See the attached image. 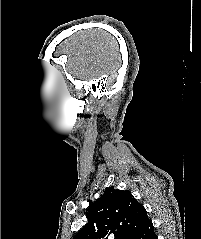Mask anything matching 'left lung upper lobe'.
<instances>
[{
    "label": "left lung upper lobe",
    "mask_w": 201,
    "mask_h": 239,
    "mask_svg": "<svg viewBox=\"0 0 201 239\" xmlns=\"http://www.w3.org/2000/svg\"><path fill=\"white\" fill-rule=\"evenodd\" d=\"M88 223L73 239H130L149 221L145 208L130 191L107 188L103 195L89 204Z\"/></svg>",
    "instance_id": "5c2ea615"
}]
</instances>
